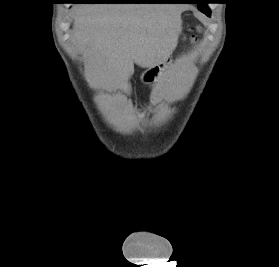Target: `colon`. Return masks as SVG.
I'll return each mask as SVG.
<instances>
[{
    "label": "colon",
    "instance_id": "5ec220e1",
    "mask_svg": "<svg viewBox=\"0 0 279 267\" xmlns=\"http://www.w3.org/2000/svg\"><path fill=\"white\" fill-rule=\"evenodd\" d=\"M188 40H189V41H193V37H189Z\"/></svg>",
    "mask_w": 279,
    "mask_h": 267
}]
</instances>
